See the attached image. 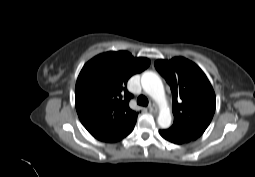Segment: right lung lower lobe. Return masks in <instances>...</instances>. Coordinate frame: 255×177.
Segmentation results:
<instances>
[{"label":"right lung lower lobe","instance_id":"1","mask_svg":"<svg viewBox=\"0 0 255 177\" xmlns=\"http://www.w3.org/2000/svg\"><path fill=\"white\" fill-rule=\"evenodd\" d=\"M136 123V119L130 121L129 123H127L125 126H123L122 128H120L119 130H117L116 132H114L113 134H111L110 136H108L107 138L101 140L103 142H117L123 138H125L126 136H128Z\"/></svg>","mask_w":255,"mask_h":177}]
</instances>
